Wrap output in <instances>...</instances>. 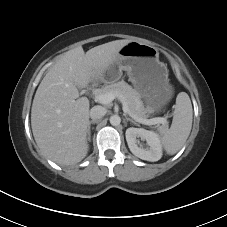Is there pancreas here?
Masks as SVG:
<instances>
[{
    "label": "pancreas",
    "instance_id": "1",
    "mask_svg": "<svg viewBox=\"0 0 227 227\" xmlns=\"http://www.w3.org/2000/svg\"><path fill=\"white\" fill-rule=\"evenodd\" d=\"M106 93H113L115 95V98H118L122 102H126L131 115L146 119L148 113L151 111L150 108L144 107L140 94L123 80L117 83L106 85L105 87L97 89L95 91L96 95ZM167 127L168 124L165 123L162 126H159L158 129L160 131H164L165 129H167Z\"/></svg>",
    "mask_w": 227,
    "mask_h": 227
}]
</instances>
